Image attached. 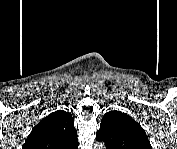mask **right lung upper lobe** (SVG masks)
<instances>
[{
	"mask_svg": "<svg viewBox=\"0 0 177 149\" xmlns=\"http://www.w3.org/2000/svg\"><path fill=\"white\" fill-rule=\"evenodd\" d=\"M77 131L72 115L64 110L52 112L37 124L24 144L27 149H77Z\"/></svg>",
	"mask_w": 177,
	"mask_h": 149,
	"instance_id": "1",
	"label": "right lung upper lobe"
}]
</instances>
